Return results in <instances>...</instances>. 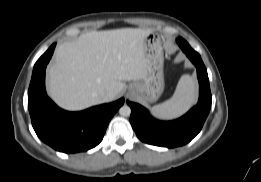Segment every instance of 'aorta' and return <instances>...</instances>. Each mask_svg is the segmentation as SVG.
<instances>
[{"mask_svg":"<svg viewBox=\"0 0 261 182\" xmlns=\"http://www.w3.org/2000/svg\"><path fill=\"white\" fill-rule=\"evenodd\" d=\"M119 114H120L121 116H125V117L130 116V114H131V109H130V107H129L128 105H123V106L119 109Z\"/></svg>","mask_w":261,"mask_h":182,"instance_id":"762f6f07","label":"aorta"}]
</instances>
